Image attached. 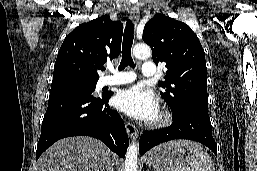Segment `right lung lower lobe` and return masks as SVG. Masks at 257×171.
Masks as SVG:
<instances>
[{"label": "right lung lower lobe", "mask_w": 257, "mask_h": 171, "mask_svg": "<svg viewBox=\"0 0 257 171\" xmlns=\"http://www.w3.org/2000/svg\"><path fill=\"white\" fill-rule=\"evenodd\" d=\"M111 95L96 98L85 91L50 94L36 160L59 139L78 135L97 138L120 157H124L129 139L120 115L108 105Z\"/></svg>", "instance_id": "98d812e1"}]
</instances>
